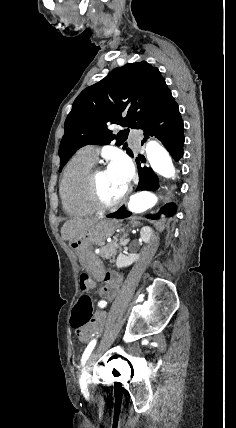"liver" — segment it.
Masks as SVG:
<instances>
[{
  "mask_svg": "<svg viewBox=\"0 0 236 428\" xmlns=\"http://www.w3.org/2000/svg\"><path fill=\"white\" fill-rule=\"evenodd\" d=\"M98 220L96 218H76V220H68L61 228L62 240H71L74 242L82 232H85L89 226H94Z\"/></svg>",
  "mask_w": 236,
  "mask_h": 428,
  "instance_id": "obj_1",
  "label": "liver"
}]
</instances>
